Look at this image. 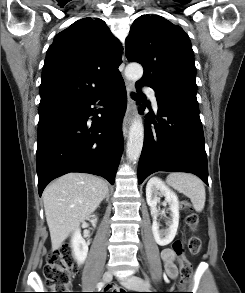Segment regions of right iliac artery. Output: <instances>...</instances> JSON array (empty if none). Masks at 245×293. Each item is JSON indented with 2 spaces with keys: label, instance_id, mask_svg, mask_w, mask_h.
Here are the masks:
<instances>
[{
  "label": "right iliac artery",
  "instance_id": "right-iliac-artery-1",
  "mask_svg": "<svg viewBox=\"0 0 245 293\" xmlns=\"http://www.w3.org/2000/svg\"><path fill=\"white\" fill-rule=\"evenodd\" d=\"M104 286V283L103 282H99L98 284H97V289L98 290H101V288Z\"/></svg>",
  "mask_w": 245,
  "mask_h": 293
}]
</instances>
